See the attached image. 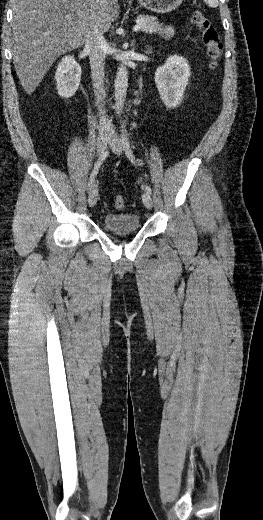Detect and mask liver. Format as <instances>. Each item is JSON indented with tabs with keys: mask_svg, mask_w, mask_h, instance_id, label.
Listing matches in <instances>:
<instances>
[{
	"mask_svg": "<svg viewBox=\"0 0 263 520\" xmlns=\"http://www.w3.org/2000/svg\"><path fill=\"white\" fill-rule=\"evenodd\" d=\"M119 12L118 0H14L13 61L25 92L35 91L60 55L82 46L94 24L108 31Z\"/></svg>",
	"mask_w": 263,
	"mask_h": 520,
	"instance_id": "1",
	"label": "liver"
}]
</instances>
